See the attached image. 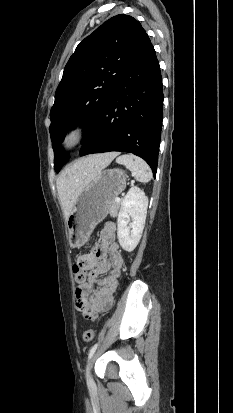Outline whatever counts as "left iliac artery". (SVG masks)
Masks as SVG:
<instances>
[{"label": "left iliac artery", "instance_id": "44dca946", "mask_svg": "<svg viewBox=\"0 0 233 413\" xmlns=\"http://www.w3.org/2000/svg\"><path fill=\"white\" fill-rule=\"evenodd\" d=\"M98 343H96L89 351V356H88V360L92 357V355L94 354L95 350L97 349ZM88 377V374H87Z\"/></svg>", "mask_w": 233, "mask_h": 413}]
</instances>
